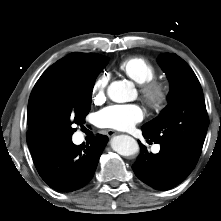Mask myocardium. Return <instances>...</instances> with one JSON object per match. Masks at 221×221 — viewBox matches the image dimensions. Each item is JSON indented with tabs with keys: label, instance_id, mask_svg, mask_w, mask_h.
<instances>
[{
	"label": "myocardium",
	"instance_id": "1",
	"mask_svg": "<svg viewBox=\"0 0 221 221\" xmlns=\"http://www.w3.org/2000/svg\"><path fill=\"white\" fill-rule=\"evenodd\" d=\"M140 91L144 101L152 110L161 111L165 108L169 92L164 83L153 79L142 84Z\"/></svg>",
	"mask_w": 221,
	"mask_h": 221
}]
</instances>
